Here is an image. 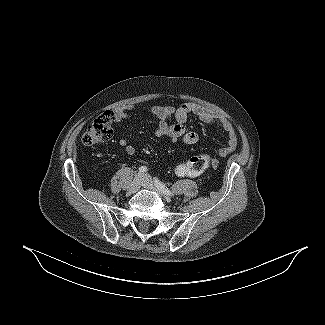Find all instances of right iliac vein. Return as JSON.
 <instances>
[{"label":"right iliac vein","mask_w":325,"mask_h":325,"mask_svg":"<svg viewBox=\"0 0 325 325\" xmlns=\"http://www.w3.org/2000/svg\"><path fill=\"white\" fill-rule=\"evenodd\" d=\"M141 182H142V177L141 175H136L134 177V179L131 181L130 185H129V188H128V191L130 193H135L139 190L140 186H141Z\"/></svg>","instance_id":"63e3f726"}]
</instances>
